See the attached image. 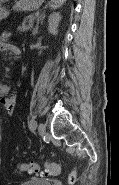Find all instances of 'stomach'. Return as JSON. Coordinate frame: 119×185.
<instances>
[{"mask_svg": "<svg viewBox=\"0 0 119 185\" xmlns=\"http://www.w3.org/2000/svg\"><path fill=\"white\" fill-rule=\"evenodd\" d=\"M44 0H19L15 5L14 9L17 11H35L39 9ZM9 12L0 6V20L6 18Z\"/></svg>", "mask_w": 119, "mask_h": 185, "instance_id": "0dacf381", "label": "stomach"}]
</instances>
